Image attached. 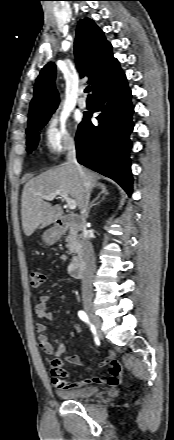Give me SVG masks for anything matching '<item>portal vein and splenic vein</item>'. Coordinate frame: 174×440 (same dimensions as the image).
<instances>
[{
	"label": "portal vein and splenic vein",
	"instance_id": "portal-vein-and-splenic-vein-1",
	"mask_svg": "<svg viewBox=\"0 0 174 440\" xmlns=\"http://www.w3.org/2000/svg\"><path fill=\"white\" fill-rule=\"evenodd\" d=\"M56 196H61L66 202H67V206L69 209L74 210L77 207V203L75 200L71 199L68 195V193L64 190H56L52 193H50L49 195H44L42 196L43 199L51 201L53 200Z\"/></svg>",
	"mask_w": 174,
	"mask_h": 440
}]
</instances>
